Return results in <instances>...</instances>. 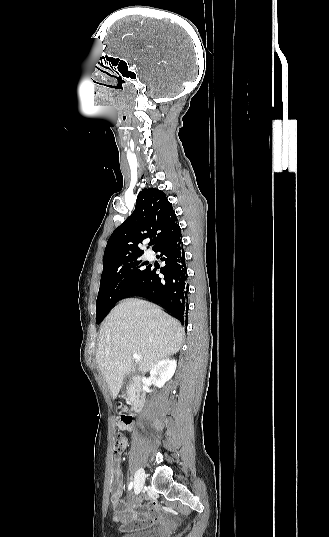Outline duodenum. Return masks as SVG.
<instances>
[{
	"label": "duodenum",
	"instance_id": "410a0bca",
	"mask_svg": "<svg viewBox=\"0 0 329 537\" xmlns=\"http://www.w3.org/2000/svg\"><path fill=\"white\" fill-rule=\"evenodd\" d=\"M132 387L131 412L133 416H137L142 410L145 401V389L142 379L138 376L133 377Z\"/></svg>",
	"mask_w": 329,
	"mask_h": 537
}]
</instances>
